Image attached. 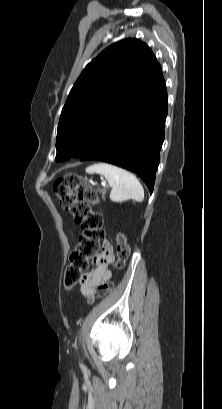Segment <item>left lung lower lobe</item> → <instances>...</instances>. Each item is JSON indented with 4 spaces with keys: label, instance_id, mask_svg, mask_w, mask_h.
<instances>
[{
    "label": "left lung lower lobe",
    "instance_id": "0a47b994",
    "mask_svg": "<svg viewBox=\"0 0 222 409\" xmlns=\"http://www.w3.org/2000/svg\"><path fill=\"white\" fill-rule=\"evenodd\" d=\"M165 84L147 98L127 101L95 135L81 161L108 162L136 173L153 191L167 116Z\"/></svg>",
    "mask_w": 222,
    "mask_h": 409
}]
</instances>
